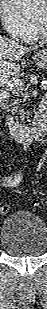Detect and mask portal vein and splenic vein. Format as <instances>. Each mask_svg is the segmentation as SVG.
Masks as SVG:
<instances>
[{
	"mask_svg": "<svg viewBox=\"0 0 47 309\" xmlns=\"http://www.w3.org/2000/svg\"><path fill=\"white\" fill-rule=\"evenodd\" d=\"M0 82H1V84H6L10 87H15V88H21L22 85H23L22 81L18 78H15V77L9 79V77H7V76H2L0 78Z\"/></svg>",
	"mask_w": 47,
	"mask_h": 309,
	"instance_id": "obj_1",
	"label": "portal vein and splenic vein"
}]
</instances>
